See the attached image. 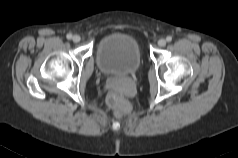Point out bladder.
<instances>
[{
	"instance_id": "1",
	"label": "bladder",
	"mask_w": 238,
	"mask_h": 158,
	"mask_svg": "<svg viewBox=\"0 0 238 158\" xmlns=\"http://www.w3.org/2000/svg\"><path fill=\"white\" fill-rule=\"evenodd\" d=\"M141 52L137 40L125 33L104 36L97 45L96 64L106 75H128L141 65Z\"/></svg>"
}]
</instances>
